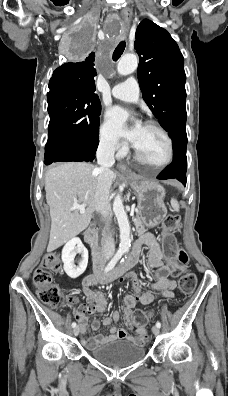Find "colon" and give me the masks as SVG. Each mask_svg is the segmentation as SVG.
<instances>
[{
    "label": "colon",
    "instance_id": "colon-1",
    "mask_svg": "<svg viewBox=\"0 0 228 396\" xmlns=\"http://www.w3.org/2000/svg\"><path fill=\"white\" fill-rule=\"evenodd\" d=\"M181 227V218L177 214L167 215L163 222V240L166 253L171 260L174 269L173 274L179 278V287L183 294H191L197 283L196 275L188 270V255L179 248L175 242L173 233ZM62 268L60 256L56 253H47L39 267L33 273V284L37 290L39 299L46 305L58 308L71 301L65 299L58 286L53 281L52 271L60 272ZM149 319V314L137 309L131 314V321L137 327H144Z\"/></svg>",
    "mask_w": 228,
    "mask_h": 396
}]
</instances>
